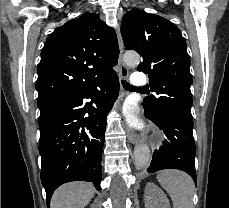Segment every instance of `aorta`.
I'll list each match as a JSON object with an SVG mask.
<instances>
[{"mask_svg":"<svg viewBox=\"0 0 229 208\" xmlns=\"http://www.w3.org/2000/svg\"><path fill=\"white\" fill-rule=\"evenodd\" d=\"M140 57L137 53H126L124 62L129 67H136L139 64ZM134 162L138 169L146 168L150 163V149L144 143H139L134 149Z\"/></svg>","mask_w":229,"mask_h":208,"instance_id":"aorta-1","label":"aorta"}]
</instances>
